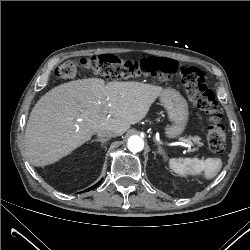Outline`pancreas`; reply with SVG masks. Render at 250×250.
<instances>
[{
	"label": "pancreas",
	"instance_id": "cf45deb5",
	"mask_svg": "<svg viewBox=\"0 0 250 250\" xmlns=\"http://www.w3.org/2000/svg\"><path fill=\"white\" fill-rule=\"evenodd\" d=\"M194 142L198 145L201 146L202 143L200 142V138L199 137H194Z\"/></svg>",
	"mask_w": 250,
	"mask_h": 250
}]
</instances>
